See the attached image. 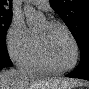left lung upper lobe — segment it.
<instances>
[{"label": "left lung upper lobe", "instance_id": "5c2ea615", "mask_svg": "<svg viewBox=\"0 0 89 89\" xmlns=\"http://www.w3.org/2000/svg\"><path fill=\"white\" fill-rule=\"evenodd\" d=\"M73 34L80 52L89 50V0H50Z\"/></svg>", "mask_w": 89, "mask_h": 89}]
</instances>
